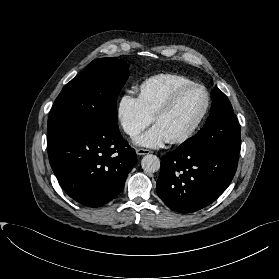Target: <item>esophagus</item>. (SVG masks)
Segmentation results:
<instances>
[{
  "label": "esophagus",
  "instance_id": "34e87169",
  "mask_svg": "<svg viewBox=\"0 0 279 279\" xmlns=\"http://www.w3.org/2000/svg\"><path fill=\"white\" fill-rule=\"evenodd\" d=\"M150 152L151 151L148 149H143V148L136 149L137 155H146V154H149Z\"/></svg>",
  "mask_w": 279,
  "mask_h": 279
}]
</instances>
